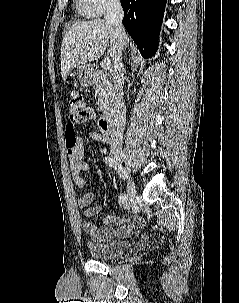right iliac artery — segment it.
<instances>
[{
    "instance_id": "82829eb1",
    "label": "right iliac artery",
    "mask_w": 239,
    "mask_h": 303,
    "mask_svg": "<svg viewBox=\"0 0 239 303\" xmlns=\"http://www.w3.org/2000/svg\"><path fill=\"white\" fill-rule=\"evenodd\" d=\"M105 163L107 164V165H109L110 167H112V168H114L116 171H117V173L119 174V177L120 178H123L124 177V174H123V167H122V165L121 164H119L118 162H117V160H115V159H113V158H111V157H105ZM126 194L125 193H123V194H121L120 196H119V202L120 203H123L125 200H126Z\"/></svg>"
}]
</instances>
